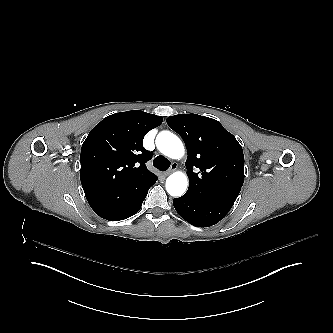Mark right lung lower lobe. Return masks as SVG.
Masks as SVG:
<instances>
[{
  "label": "right lung lower lobe",
  "mask_w": 333,
  "mask_h": 333,
  "mask_svg": "<svg viewBox=\"0 0 333 333\" xmlns=\"http://www.w3.org/2000/svg\"><path fill=\"white\" fill-rule=\"evenodd\" d=\"M91 208L102 218L119 221L134 215L142 206L157 176L145 172L137 176L111 179L98 170L80 174Z\"/></svg>",
  "instance_id": "right-lung-lower-lobe-1"
}]
</instances>
